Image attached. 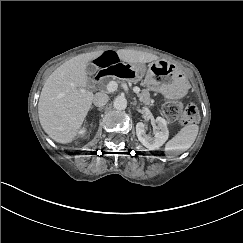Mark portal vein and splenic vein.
I'll use <instances>...</instances> for the list:
<instances>
[{
	"label": "portal vein and splenic vein",
	"instance_id": "portal-vein-and-splenic-vein-1",
	"mask_svg": "<svg viewBox=\"0 0 243 243\" xmlns=\"http://www.w3.org/2000/svg\"><path fill=\"white\" fill-rule=\"evenodd\" d=\"M117 88H118V84H117L116 81H110V82L107 84V90H108L109 92H113V91L117 90ZM133 91H134L135 93H139L140 88L137 87V86H135V87L133 88Z\"/></svg>",
	"mask_w": 243,
	"mask_h": 243
}]
</instances>
